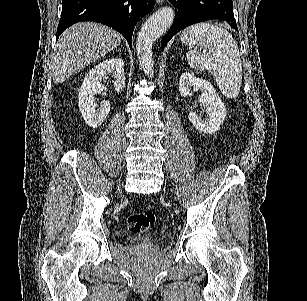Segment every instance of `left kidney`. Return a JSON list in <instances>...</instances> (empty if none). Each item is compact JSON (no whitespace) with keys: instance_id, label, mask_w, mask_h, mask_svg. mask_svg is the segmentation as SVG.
<instances>
[{"instance_id":"5707ae66","label":"left kidney","mask_w":307,"mask_h":301,"mask_svg":"<svg viewBox=\"0 0 307 301\" xmlns=\"http://www.w3.org/2000/svg\"><path fill=\"white\" fill-rule=\"evenodd\" d=\"M191 88L202 90V94L198 96V100L202 102L207 118L204 120L199 110H195V112L191 110L188 114V120L192 122L195 128L201 130V132L214 134V132L219 130L220 124H223V120L226 116L224 102H222L209 80L198 78V76H194L192 72H182L179 78V92L181 96H189V94H192Z\"/></svg>"}]
</instances>
